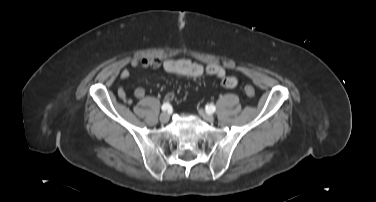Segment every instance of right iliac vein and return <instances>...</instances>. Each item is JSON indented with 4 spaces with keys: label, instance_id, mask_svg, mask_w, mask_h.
Segmentation results:
<instances>
[{
    "label": "right iliac vein",
    "instance_id": "1",
    "mask_svg": "<svg viewBox=\"0 0 376 202\" xmlns=\"http://www.w3.org/2000/svg\"><path fill=\"white\" fill-rule=\"evenodd\" d=\"M159 119H160V122L167 123L169 120V114L166 111H164L161 113Z\"/></svg>",
    "mask_w": 376,
    "mask_h": 202
}]
</instances>
